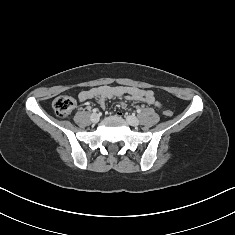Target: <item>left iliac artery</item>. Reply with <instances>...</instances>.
<instances>
[{"instance_id": "44dca946", "label": "left iliac artery", "mask_w": 235, "mask_h": 235, "mask_svg": "<svg viewBox=\"0 0 235 235\" xmlns=\"http://www.w3.org/2000/svg\"><path fill=\"white\" fill-rule=\"evenodd\" d=\"M137 113H141V109H137Z\"/></svg>"}]
</instances>
